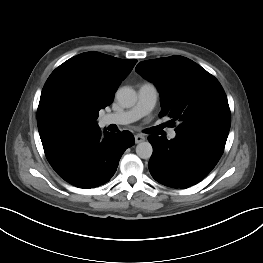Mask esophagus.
<instances>
[{
    "label": "esophagus",
    "instance_id": "34e87169",
    "mask_svg": "<svg viewBox=\"0 0 263 263\" xmlns=\"http://www.w3.org/2000/svg\"><path fill=\"white\" fill-rule=\"evenodd\" d=\"M145 140V137L143 135L137 134L135 135V142L136 143H141Z\"/></svg>",
    "mask_w": 263,
    "mask_h": 263
}]
</instances>
